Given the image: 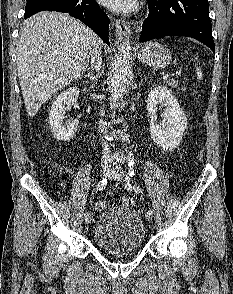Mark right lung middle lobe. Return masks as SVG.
<instances>
[{
  "instance_id": "dd1d6c3e",
  "label": "right lung middle lobe",
  "mask_w": 233,
  "mask_h": 294,
  "mask_svg": "<svg viewBox=\"0 0 233 294\" xmlns=\"http://www.w3.org/2000/svg\"><path fill=\"white\" fill-rule=\"evenodd\" d=\"M45 1H48V0H28L27 3H26L25 11H27L30 8L40 4L42 2H45Z\"/></svg>"
}]
</instances>
